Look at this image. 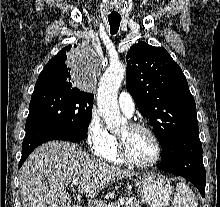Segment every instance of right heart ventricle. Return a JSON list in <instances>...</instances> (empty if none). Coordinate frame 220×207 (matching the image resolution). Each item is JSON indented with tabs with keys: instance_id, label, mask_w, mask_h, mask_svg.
<instances>
[{
	"instance_id": "obj_1",
	"label": "right heart ventricle",
	"mask_w": 220,
	"mask_h": 207,
	"mask_svg": "<svg viewBox=\"0 0 220 207\" xmlns=\"http://www.w3.org/2000/svg\"><path fill=\"white\" fill-rule=\"evenodd\" d=\"M96 155L102 160H105L109 163H113V164L124 163L118 155L116 137L114 136H112L111 143L105 149L96 153Z\"/></svg>"
}]
</instances>
